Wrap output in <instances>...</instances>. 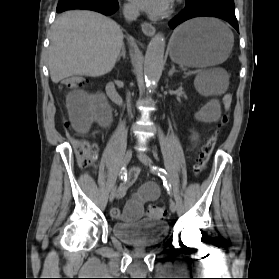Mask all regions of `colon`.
<instances>
[{"mask_svg":"<svg viewBox=\"0 0 279 279\" xmlns=\"http://www.w3.org/2000/svg\"><path fill=\"white\" fill-rule=\"evenodd\" d=\"M86 83H88V79L84 76H70L61 80L60 88L74 89ZM232 101H233V92L232 91L226 92L222 99V104L225 113L217 121L215 128L205 135L203 142L200 145L199 153L195 159V166H194L195 174H200L201 172H203V170H205L207 163L210 159V156L216 145L218 131L221 127L226 125L228 122V115L226 112L231 107ZM67 133L68 135L72 134L69 128H67ZM75 154H76L78 164L81 167H89L93 165L97 157L95 145L87 141H77L75 143ZM147 214L149 217L154 219H163L167 215V211L164 207L157 206V205H150L147 207Z\"/></svg>","mask_w":279,"mask_h":279,"instance_id":"colon-1","label":"colon"}]
</instances>
